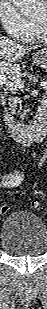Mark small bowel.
Returning <instances> with one entry per match:
<instances>
[{
    "mask_svg": "<svg viewBox=\"0 0 47 309\" xmlns=\"http://www.w3.org/2000/svg\"><path fill=\"white\" fill-rule=\"evenodd\" d=\"M24 179V173L22 171H14L7 173L2 177L1 185L3 187H15L18 186Z\"/></svg>",
    "mask_w": 47,
    "mask_h": 309,
    "instance_id": "c3829d8e",
    "label": "small bowel"
}]
</instances>
